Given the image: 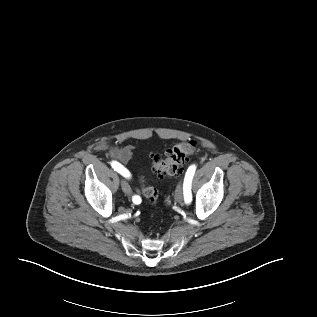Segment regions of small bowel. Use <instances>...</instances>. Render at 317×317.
I'll use <instances>...</instances> for the list:
<instances>
[{"instance_id": "1", "label": "small bowel", "mask_w": 317, "mask_h": 317, "mask_svg": "<svg viewBox=\"0 0 317 317\" xmlns=\"http://www.w3.org/2000/svg\"><path fill=\"white\" fill-rule=\"evenodd\" d=\"M108 154L114 161L118 162L122 166L130 161L133 154V148L131 145H126L123 147L112 146L108 150ZM124 167V166H123ZM132 193V192H131ZM131 193L129 195H131ZM138 196V195H134Z\"/></svg>"}]
</instances>
